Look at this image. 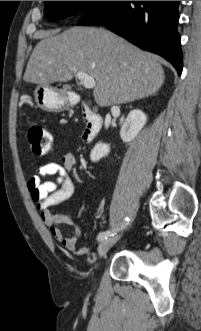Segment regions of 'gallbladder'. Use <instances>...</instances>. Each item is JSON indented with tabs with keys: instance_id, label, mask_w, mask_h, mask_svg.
Masks as SVG:
<instances>
[{
	"instance_id": "bac80fb5",
	"label": "gallbladder",
	"mask_w": 201,
	"mask_h": 331,
	"mask_svg": "<svg viewBox=\"0 0 201 331\" xmlns=\"http://www.w3.org/2000/svg\"><path fill=\"white\" fill-rule=\"evenodd\" d=\"M64 91L67 92L68 91V87L67 86H64Z\"/></svg>"
}]
</instances>
